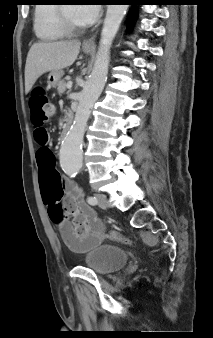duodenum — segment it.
<instances>
[{
	"instance_id": "duodenum-1",
	"label": "duodenum",
	"mask_w": 213,
	"mask_h": 338,
	"mask_svg": "<svg viewBox=\"0 0 213 338\" xmlns=\"http://www.w3.org/2000/svg\"><path fill=\"white\" fill-rule=\"evenodd\" d=\"M71 125H72V117H71V115H68L67 121H66V123L63 127V133H62L63 136H66V134L68 133V131L71 127Z\"/></svg>"
}]
</instances>
